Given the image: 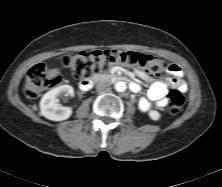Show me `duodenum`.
Wrapping results in <instances>:
<instances>
[{
    "instance_id": "410a0bca",
    "label": "duodenum",
    "mask_w": 222,
    "mask_h": 187,
    "mask_svg": "<svg viewBox=\"0 0 222 187\" xmlns=\"http://www.w3.org/2000/svg\"><path fill=\"white\" fill-rule=\"evenodd\" d=\"M129 76L124 73L114 72L109 75H97L92 80H85L80 83L82 90H89L95 81H129Z\"/></svg>"
}]
</instances>
